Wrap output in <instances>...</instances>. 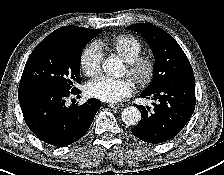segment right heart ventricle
<instances>
[{
	"label": "right heart ventricle",
	"mask_w": 224,
	"mask_h": 175,
	"mask_svg": "<svg viewBox=\"0 0 224 175\" xmlns=\"http://www.w3.org/2000/svg\"><path fill=\"white\" fill-rule=\"evenodd\" d=\"M100 45L107 46L126 62L135 60L142 52L141 42L132 35H118L100 42Z\"/></svg>",
	"instance_id": "1"
}]
</instances>
